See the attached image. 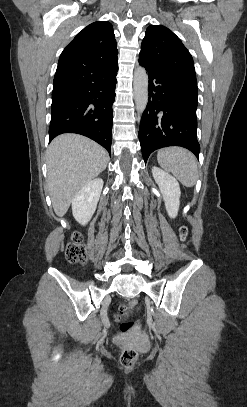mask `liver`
Instances as JSON below:
<instances>
[{
  "mask_svg": "<svg viewBox=\"0 0 247 407\" xmlns=\"http://www.w3.org/2000/svg\"><path fill=\"white\" fill-rule=\"evenodd\" d=\"M109 154L96 142L77 134L56 137L47 150V188L57 216L68 211L72 199L102 173Z\"/></svg>",
  "mask_w": 247,
  "mask_h": 407,
  "instance_id": "6515ba94",
  "label": "liver"
}]
</instances>
